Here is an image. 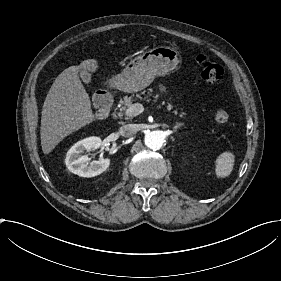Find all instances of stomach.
I'll return each mask as SVG.
<instances>
[{
	"label": "stomach",
	"instance_id": "1",
	"mask_svg": "<svg viewBox=\"0 0 281 281\" xmlns=\"http://www.w3.org/2000/svg\"><path fill=\"white\" fill-rule=\"evenodd\" d=\"M178 53L166 46L153 48L132 59L124 70L107 79L106 86L123 92H137L178 67Z\"/></svg>",
	"mask_w": 281,
	"mask_h": 281
}]
</instances>
